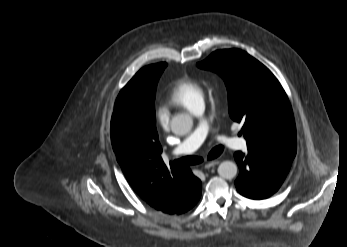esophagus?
<instances>
[{
  "instance_id": "34e87169",
  "label": "esophagus",
  "mask_w": 347,
  "mask_h": 247,
  "mask_svg": "<svg viewBox=\"0 0 347 247\" xmlns=\"http://www.w3.org/2000/svg\"><path fill=\"white\" fill-rule=\"evenodd\" d=\"M218 164H219V161H218V160H213V161L207 162V163L205 164V168H206V169H209V168H211V167H213V166H215V165H218Z\"/></svg>"
}]
</instances>
